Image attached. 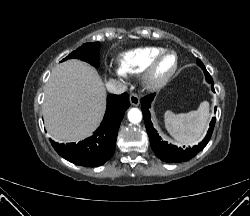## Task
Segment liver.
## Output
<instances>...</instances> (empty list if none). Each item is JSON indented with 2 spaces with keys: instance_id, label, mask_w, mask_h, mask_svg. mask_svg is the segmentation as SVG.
Listing matches in <instances>:
<instances>
[{
  "instance_id": "liver-1",
  "label": "liver",
  "mask_w": 250,
  "mask_h": 216,
  "mask_svg": "<svg viewBox=\"0 0 250 216\" xmlns=\"http://www.w3.org/2000/svg\"><path fill=\"white\" fill-rule=\"evenodd\" d=\"M106 108V90L96 70L80 60L57 65L45 87L43 116L50 136L76 142L90 136Z\"/></svg>"
}]
</instances>
